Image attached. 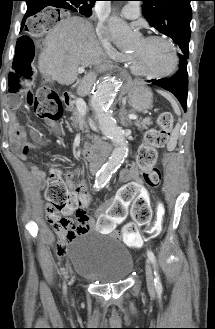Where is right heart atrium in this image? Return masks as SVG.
<instances>
[{
	"mask_svg": "<svg viewBox=\"0 0 215 329\" xmlns=\"http://www.w3.org/2000/svg\"><path fill=\"white\" fill-rule=\"evenodd\" d=\"M96 34L106 52L110 57L116 60H121L124 58V55L113 45L112 38L105 27L101 22L97 24Z\"/></svg>",
	"mask_w": 215,
	"mask_h": 329,
	"instance_id": "d8ad5b80",
	"label": "right heart atrium"
}]
</instances>
